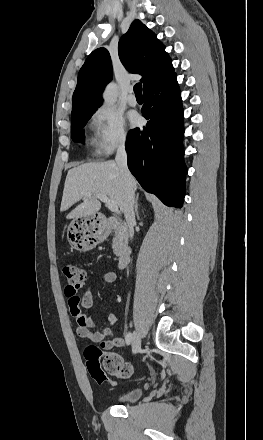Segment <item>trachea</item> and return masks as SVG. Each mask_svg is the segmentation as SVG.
Instances as JSON below:
<instances>
[{
	"label": "trachea",
	"instance_id": "trachea-1",
	"mask_svg": "<svg viewBox=\"0 0 263 440\" xmlns=\"http://www.w3.org/2000/svg\"><path fill=\"white\" fill-rule=\"evenodd\" d=\"M134 93L136 97H142V84L137 83L134 86Z\"/></svg>",
	"mask_w": 263,
	"mask_h": 440
}]
</instances>
